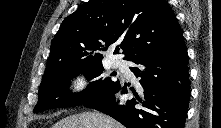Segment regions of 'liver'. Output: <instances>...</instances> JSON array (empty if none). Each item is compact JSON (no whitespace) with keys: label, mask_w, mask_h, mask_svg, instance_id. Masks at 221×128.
Returning a JSON list of instances; mask_svg holds the SVG:
<instances>
[{"label":"liver","mask_w":221,"mask_h":128,"mask_svg":"<svg viewBox=\"0 0 221 128\" xmlns=\"http://www.w3.org/2000/svg\"><path fill=\"white\" fill-rule=\"evenodd\" d=\"M52 128H124L123 125L99 112H83L66 117Z\"/></svg>","instance_id":"1"}]
</instances>
